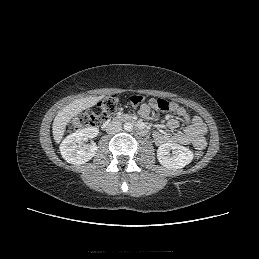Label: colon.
Segmentation results:
<instances>
[{
    "instance_id": "obj_1",
    "label": "colon",
    "mask_w": 259,
    "mask_h": 259,
    "mask_svg": "<svg viewBox=\"0 0 259 259\" xmlns=\"http://www.w3.org/2000/svg\"><path fill=\"white\" fill-rule=\"evenodd\" d=\"M129 102L133 106H141L153 113L157 111H175L179 105L175 102L165 99H149L146 101L143 95H132ZM119 106V99L116 95L108 96L97 105V112L86 111L72 119L67 125L68 131H76L86 127H94L103 123L105 120L113 117ZM203 152L198 150L195 152V158L200 159Z\"/></svg>"
}]
</instances>
